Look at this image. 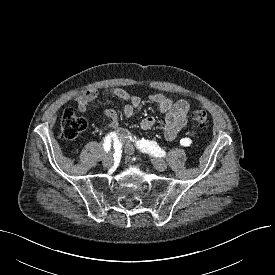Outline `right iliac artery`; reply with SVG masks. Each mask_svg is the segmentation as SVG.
<instances>
[{
	"label": "right iliac artery",
	"instance_id": "82829eb1",
	"mask_svg": "<svg viewBox=\"0 0 275 275\" xmlns=\"http://www.w3.org/2000/svg\"><path fill=\"white\" fill-rule=\"evenodd\" d=\"M113 138V140H115V142H118L117 136L116 134H109L108 136H106V138L104 139V143H103V147L105 152H109L111 149V139Z\"/></svg>",
	"mask_w": 275,
	"mask_h": 275
}]
</instances>
